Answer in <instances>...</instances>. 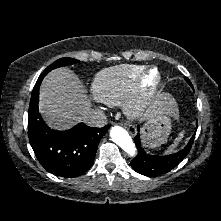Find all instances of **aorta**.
I'll return each mask as SVG.
<instances>
[{"instance_id":"762f6f07","label":"aorta","mask_w":221,"mask_h":221,"mask_svg":"<svg viewBox=\"0 0 221 221\" xmlns=\"http://www.w3.org/2000/svg\"><path fill=\"white\" fill-rule=\"evenodd\" d=\"M110 136L112 141L121 147L128 155L135 156L137 154L136 146L124 128L120 126L112 127Z\"/></svg>"}]
</instances>
